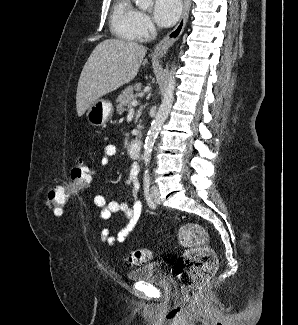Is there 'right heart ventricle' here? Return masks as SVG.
Here are the masks:
<instances>
[{"instance_id": "right-heart-ventricle-1", "label": "right heart ventricle", "mask_w": 298, "mask_h": 325, "mask_svg": "<svg viewBox=\"0 0 298 325\" xmlns=\"http://www.w3.org/2000/svg\"><path fill=\"white\" fill-rule=\"evenodd\" d=\"M137 6L129 0H121L114 4L110 14V29L113 37H121L122 41H130L129 33L137 26L139 19Z\"/></svg>"}]
</instances>
